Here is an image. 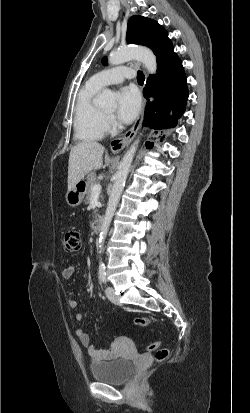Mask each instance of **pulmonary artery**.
<instances>
[{"label": "pulmonary artery", "instance_id": "obj_1", "mask_svg": "<svg viewBox=\"0 0 250 413\" xmlns=\"http://www.w3.org/2000/svg\"><path fill=\"white\" fill-rule=\"evenodd\" d=\"M135 76L132 69L118 66L110 69L103 70L95 74L91 80L98 86L104 87L111 84H118L125 79H131Z\"/></svg>", "mask_w": 250, "mask_h": 413}]
</instances>
